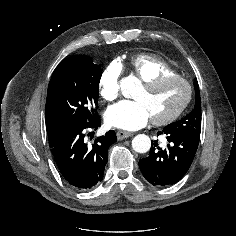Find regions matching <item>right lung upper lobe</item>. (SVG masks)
Segmentation results:
<instances>
[{
	"label": "right lung upper lobe",
	"instance_id": "obj_1",
	"mask_svg": "<svg viewBox=\"0 0 236 236\" xmlns=\"http://www.w3.org/2000/svg\"><path fill=\"white\" fill-rule=\"evenodd\" d=\"M45 120H46L48 138L50 136L52 137L55 134H58L62 130V127L58 123H56V121L50 115V113L48 111L45 112Z\"/></svg>",
	"mask_w": 236,
	"mask_h": 236
}]
</instances>
